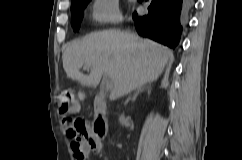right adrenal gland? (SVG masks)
<instances>
[{"label":"right adrenal gland","mask_w":242,"mask_h":160,"mask_svg":"<svg viewBox=\"0 0 242 160\" xmlns=\"http://www.w3.org/2000/svg\"><path fill=\"white\" fill-rule=\"evenodd\" d=\"M143 88H138L131 96H129L127 98V100L125 101V105L130 101V100H135L137 98V96L143 91Z\"/></svg>","instance_id":"1"}]
</instances>
